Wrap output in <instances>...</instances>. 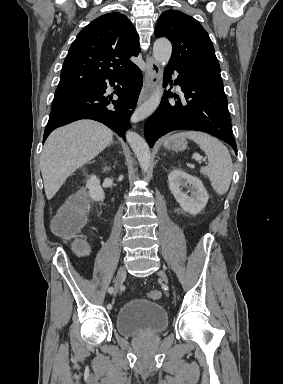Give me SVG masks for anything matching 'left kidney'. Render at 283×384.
<instances>
[{"label":"left kidney","instance_id":"5707ae66","mask_svg":"<svg viewBox=\"0 0 283 384\" xmlns=\"http://www.w3.org/2000/svg\"><path fill=\"white\" fill-rule=\"evenodd\" d=\"M169 188L178 204L183 208L184 212H189V214H199L203 208H205L209 198L208 194L199 178H194V176H189L185 174L183 170H178L174 168L168 176ZM191 188V196L184 194L181 188Z\"/></svg>","mask_w":283,"mask_h":384}]
</instances>
